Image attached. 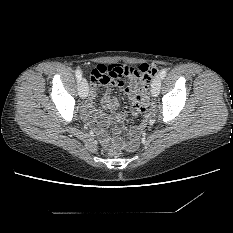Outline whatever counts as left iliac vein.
Instances as JSON below:
<instances>
[{"label": "left iliac vein", "mask_w": 233, "mask_h": 233, "mask_svg": "<svg viewBox=\"0 0 233 233\" xmlns=\"http://www.w3.org/2000/svg\"><path fill=\"white\" fill-rule=\"evenodd\" d=\"M161 81H162V78L160 76H157L153 80L152 85H151L152 96H154V97L158 96V94L160 92V88H161Z\"/></svg>", "instance_id": "4c4485c4"}]
</instances>
